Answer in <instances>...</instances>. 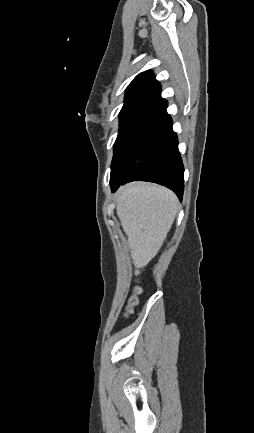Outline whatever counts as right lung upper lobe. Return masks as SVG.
Instances as JSON below:
<instances>
[{
	"label": "right lung upper lobe",
	"mask_w": 254,
	"mask_h": 433,
	"mask_svg": "<svg viewBox=\"0 0 254 433\" xmlns=\"http://www.w3.org/2000/svg\"><path fill=\"white\" fill-rule=\"evenodd\" d=\"M161 91L158 81L151 70L140 73L126 89L125 104H138L143 106Z\"/></svg>",
	"instance_id": "obj_1"
}]
</instances>
